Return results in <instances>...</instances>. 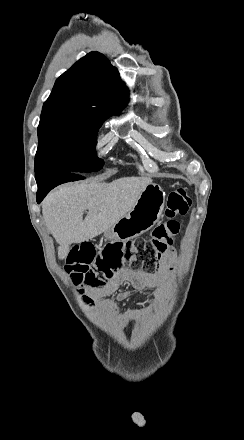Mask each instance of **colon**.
Segmentation results:
<instances>
[{
  "mask_svg": "<svg viewBox=\"0 0 244 440\" xmlns=\"http://www.w3.org/2000/svg\"><path fill=\"white\" fill-rule=\"evenodd\" d=\"M191 200L184 188L172 190L166 199L164 211L168 219L188 214ZM180 230L177 221L170 220L158 224L151 232L148 240L137 239L134 241H112L98 251L91 244L79 248H70L71 262H65V271L71 279L81 285H88L84 274H90L91 284L99 288L106 280L113 277L114 273L123 269L134 268L146 273H153L157 259L167 250ZM77 292H83V287H77ZM79 301H84V296H79ZM83 313H90V304H83Z\"/></svg>",
  "mask_w": 244,
  "mask_h": 440,
  "instance_id": "1",
  "label": "colon"
}]
</instances>
